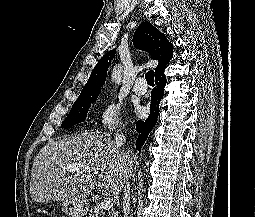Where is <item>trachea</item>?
Listing matches in <instances>:
<instances>
[{
	"instance_id": "3493384b",
	"label": "trachea",
	"mask_w": 255,
	"mask_h": 217,
	"mask_svg": "<svg viewBox=\"0 0 255 217\" xmlns=\"http://www.w3.org/2000/svg\"><path fill=\"white\" fill-rule=\"evenodd\" d=\"M145 79L149 85H154V72L152 70L148 71L145 75Z\"/></svg>"
}]
</instances>
